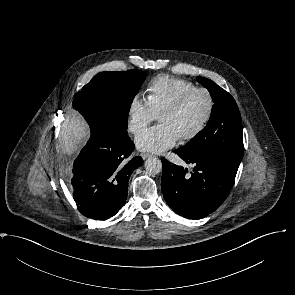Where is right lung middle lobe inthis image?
<instances>
[{"instance_id":"1","label":"right lung middle lobe","mask_w":295,"mask_h":295,"mask_svg":"<svg viewBox=\"0 0 295 295\" xmlns=\"http://www.w3.org/2000/svg\"><path fill=\"white\" fill-rule=\"evenodd\" d=\"M146 77L140 70L101 72L74 96L73 108L88 124L118 138L128 136L131 103Z\"/></svg>"}]
</instances>
